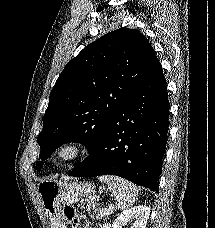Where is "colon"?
<instances>
[{
    "instance_id": "1",
    "label": "colon",
    "mask_w": 215,
    "mask_h": 228,
    "mask_svg": "<svg viewBox=\"0 0 215 228\" xmlns=\"http://www.w3.org/2000/svg\"><path fill=\"white\" fill-rule=\"evenodd\" d=\"M98 210V205L95 201L86 199L80 205V211L84 213ZM64 215L68 220L71 228H90V225L83 215H77L76 211L69 206L64 208Z\"/></svg>"
}]
</instances>
